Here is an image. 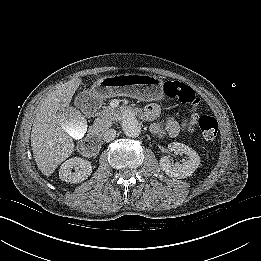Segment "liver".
<instances>
[{
    "instance_id": "1",
    "label": "liver",
    "mask_w": 261,
    "mask_h": 261,
    "mask_svg": "<svg viewBox=\"0 0 261 261\" xmlns=\"http://www.w3.org/2000/svg\"><path fill=\"white\" fill-rule=\"evenodd\" d=\"M80 78H74L47 93L39 103L31 131V146L35 162L40 171L50 176L55 169L74 151V142L64 122L65 110L70 108L72 97L81 84ZM73 119L71 125H81V115L69 110Z\"/></svg>"
}]
</instances>
